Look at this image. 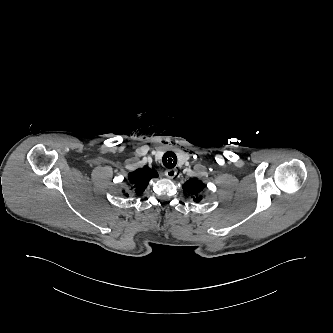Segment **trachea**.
<instances>
[{"instance_id": "trachea-1", "label": "trachea", "mask_w": 333, "mask_h": 333, "mask_svg": "<svg viewBox=\"0 0 333 333\" xmlns=\"http://www.w3.org/2000/svg\"><path fill=\"white\" fill-rule=\"evenodd\" d=\"M163 164L166 168H174L177 164V156L175 153L168 151L163 155Z\"/></svg>"}]
</instances>
